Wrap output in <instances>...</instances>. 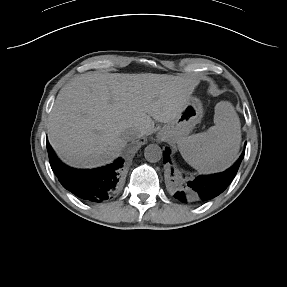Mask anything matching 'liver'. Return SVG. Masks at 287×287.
Masks as SVG:
<instances>
[{
  "label": "liver",
  "instance_id": "obj_1",
  "mask_svg": "<svg viewBox=\"0 0 287 287\" xmlns=\"http://www.w3.org/2000/svg\"><path fill=\"white\" fill-rule=\"evenodd\" d=\"M198 84L196 79L172 75L81 74L57 95L49 116V142L69 166L109 164L127 143L125 130L148 135L154 120H175Z\"/></svg>",
  "mask_w": 287,
  "mask_h": 287
}]
</instances>
